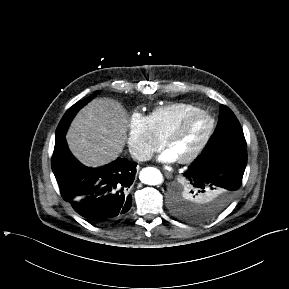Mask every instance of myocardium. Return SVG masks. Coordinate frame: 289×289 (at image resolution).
Listing matches in <instances>:
<instances>
[{"instance_id": "f54148a6", "label": "myocardium", "mask_w": 289, "mask_h": 289, "mask_svg": "<svg viewBox=\"0 0 289 289\" xmlns=\"http://www.w3.org/2000/svg\"><path fill=\"white\" fill-rule=\"evenodd\" d=\"M204 116L209 120V126L207 131L205 132L204 136L201 140L196 144L194 148H192L186 155L181 158H178L180 163H189L195 160L201 152L205 149L207 144L209 143L216 126V121L213 115L203 109H199L192 113H189L185 117L181 119V121L167 134V136L163 139V143L165 147H169L171 142L178 139L182 134L185 132L188 124L196 117Z\"/></svg>"}]
</instances>
